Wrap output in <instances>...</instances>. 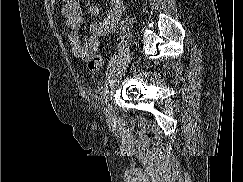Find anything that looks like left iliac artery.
I'll return each instance as SVG.
<instances>
[{
    "instance_id": "obj_1",
    "label": "left iliac artery",
    "mask_w": 243,
    "mask_h": 182,
    "mask_svg": "<svg viewBox=\"0 0 243 182\" xmlns=\"http://www.w3.org/2000/svg\"><path fill=\"white\" fill-rule=\"evenodd\" d=\"M108 93H109L108 88H105L104 91H103V93H102V96H103V99L105 100V102L107 100Z\"/></svg>"
}]
</instances>
